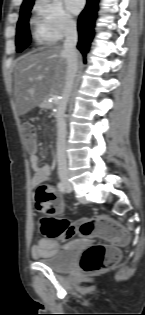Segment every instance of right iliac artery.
<instances>
[{"label":"right iliac artery","instance_id":"obj_1","mask_svg":"<svg viewBox=\"0 0 145 315\" xmlns=\"http://www.w3.org/2000/svg\"><path fill=\"white\" fill-rule=\"evenodd\" d=\"M57 188H58V190H59L60 192H62V193H65V192H66V187H65V185H64L63 183H61V182H59V183L57 184Z\"/></svg>","mask_w":145,"mask_h":315}]
</instances>
